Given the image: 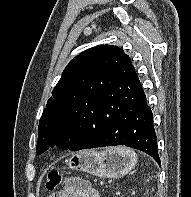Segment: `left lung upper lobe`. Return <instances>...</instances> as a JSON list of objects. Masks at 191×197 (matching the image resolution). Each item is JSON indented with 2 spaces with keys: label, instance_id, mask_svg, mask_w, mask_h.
Masks as SVG:
<instances>
[{
  "label": "left lung upper lobe",
  "instance_id": "1",
  "mask_svg": "<svg viewBox=\"0 0 191 197\" xmlns=\"http://www.w3.org/2000/svg\"><path fill=\"white\" fill-rule=\"evenodd\" d=\"M132 76L136 73L130 58L117 46L99 45L72 59L40 118L37 153L53 146L67 149L65 130L76 115L89 112L100 94Z\"/></svg>",
  "mask_w": 191,
  "mask_h": 197
}]
</instances>
